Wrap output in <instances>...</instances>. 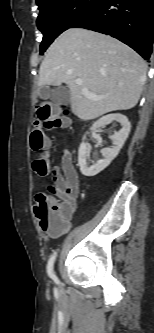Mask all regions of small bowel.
Segmentation results:
<instances>
[{"label": "small bowel", "mask_w": 154, "mask_h": 333, "mask_svg": "<svg viewBox=\"0 0 154 333\" xmlns=\"http://www.w3.org/2000/svg\"><path fill=\"white\" fill-rule=\"evenodd\" d=\"M51 174L54 187H49V190L63 200L62 205L66 208L69 218L76 208L79 194V176L69 150L62 152L61 167H52ZM68 229L69 224L61 233H65Z\"/></svg>", "instance_id": "small-bowel-1"}]
</instances>
